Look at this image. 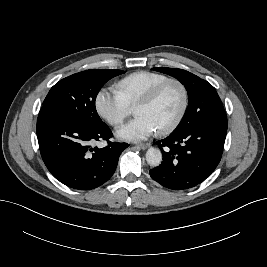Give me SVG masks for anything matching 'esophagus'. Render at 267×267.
Instances as JSON below:
<instances>
[{"label":"esophagus","mask_w":267,"mask_h":267,"mask_svg":"<svg viewBox=\"0 0 267 267\" xmlns=\"http://www.w3.org/2000/svg\"><path fill=\"white\" fill-rule=\"evenodd\" d=\"M149 146H150V144H148V143H140V144L136 145V147L141 148L143 150L147 149Z\"/></svg>","instance_id":"34e87169"}]
</instances>
